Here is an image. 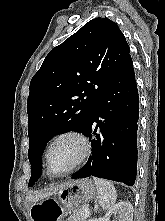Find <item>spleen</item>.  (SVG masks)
<instances>
[{
	"label": "spleen",
	"instance_id": "1",
	"mask_svg": "<svg viewBox=\"0 0 165 221\" xmlns=\"http://www.w3.org/2000/svg\"><path fill=\"white\" fill-rule=\"evenodd\" d=\"M94 184L97 188L99 204L102 209H111L116 202L117 194L114 185L103 179L94 178Z\"/></svg>",
	"mask_w": 165,
	"mask_h": 221
}]
</instances>
